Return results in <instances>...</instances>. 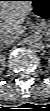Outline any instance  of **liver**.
Returning a JSON list of instances; mask_svg holds the SVG:
<instances>
[{
  "label": "liver",
  "mask_w": 50,
  "mask_h": 111,
  "mask_svg": "<svg viewBox=\"0 0 50 111\" xmlns=\"http://www.w3.org/2000/svg\"><path fill=\"white\" fill-rule=\"evenodd\" d=\"M0 18L5 23L1 25V36L5 33H23L21 25L31 11V0H9L0 3Z\"/></svg>",
  "instance_id": "liver-1"
}]
</instances>
